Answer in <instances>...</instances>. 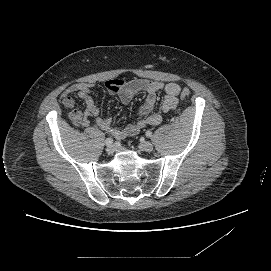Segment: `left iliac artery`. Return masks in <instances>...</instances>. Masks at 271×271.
Here are the masks:
<instances>
[{
    "label": "left iliac artery",
    "instance_id": "44dca946",
    "mask_svg": "<svg viewBox=\"0 0 271 271\" xmlns=\"http://www.w3.org/2000/svg\"><path fill=\"white\" fill-rule=\"evenodd\" d=\"M146 136H147V137H151V136H152V132H151L150 130H148V131L146 132Z\"/></svg>",
    "mask_w": 271,
    "mask_h": 271
}]
</instances>
